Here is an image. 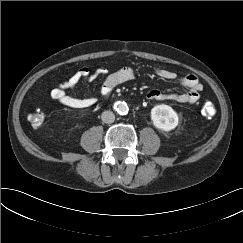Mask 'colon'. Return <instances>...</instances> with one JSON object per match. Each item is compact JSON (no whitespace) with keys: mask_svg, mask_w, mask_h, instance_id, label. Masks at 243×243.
Here are the masks:
<instances>
[{"mask_svg":"<svg viewBox=\"0 0 243 243\" xmlns=\"http://www.w3.org/2000/svg\"><path fill=\"white\" fill-rule=\"evenodd\" d=\"M201 112L206 117H212L215 115V106L211 102H206L201 108ZM28 121L34 127L38 128L44 121V113L41 109H36L28 114Z\"/></svg>","mask_w":243,"mask_h":243,"instance_id":"5ec220e1","label":"colon"}]
</instances>
